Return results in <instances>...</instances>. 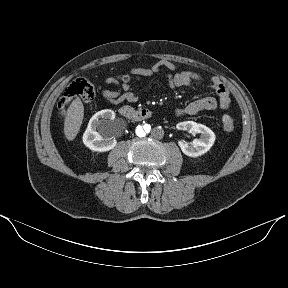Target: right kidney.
Here are the masks:
<instances>
[{
	"instance_id": "ca27d5eb",
	"label": "right kidney",
	"mask_w": 288,
	"mask_h": 288,
	"mask_svg": "<svg viewBox=\"0 0 288 288\" xmlns=\"http://www.w3.org/2000/svg\"><path fill=\"white\" fill-rule=\"evenodd\" d=\"M115 118L112 110H102L92 116L83 134V143L92 151L106 152L116 146V140L107 132L105 125Z\"/></svg>"
}]
</instances>
